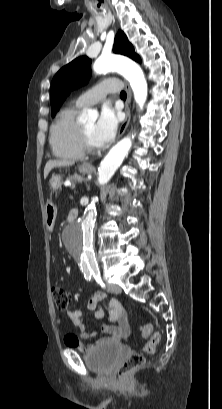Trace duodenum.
<instances>
[{"instance_id":"obj_1","label":"duodenum","mask_w":222,"mask_h":409,"mask_svg":"<svg viewBox=\"0 0 222 409\" xmlns=\"http://www.w3.org/2000/svg\"><path fill=\"white\" fill-rule=\"evenodd\" d=\"M77 218H78V211L76 209H72L69 212V216H68L69 221L74 222L77 220Z\"/></svg>"}]
</instances>
